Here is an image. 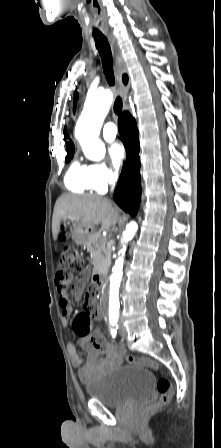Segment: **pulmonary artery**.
Returning <instances> with one entry per match:
<instances>
[{"instance_id":"pulmonary-artery-1","label":"pulmonary artery","mask_w":221,"mask_h":448,"mask_svg":"<svg viewBox=\"0 0 221 448\" xmlns=\"http://www.w3.org/2000/svg\"><path fill=\"white\" fill-rule=\"evenodd\" d=\"M103 137L106 141H112L117 136V127L114 123H107L105 124L103 131H102Z\"/></svg>"}]
</instances>
